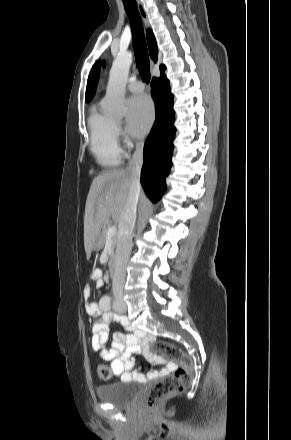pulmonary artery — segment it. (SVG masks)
<instances>
[{
	"instance_id": "1",
	"label": "pulmonary artery",
	"mask_w": 291,
	"mask_h": 440,
	"mask_svg": "<svg viewBox=\"0 0 291 440\" xmlns=\"http://www.w3.org/2000/svg\"><path fill=\"white\" fill-rule=\"evenodd\" d=\"M128 89L133 93H140L144 90V83L141 81H133L128 85Z\"/></svg>"
}]
</instances>
